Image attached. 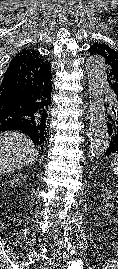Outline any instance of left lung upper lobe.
Returning a JSON list of instances; mask_svg holds the SVG:
<instances>
[{"instance_id": "5c2ea615", "label": "left lung upper lobe", "mask_w": 118, "mask_h": 269, "mask_svg": "<svg viewBox=\"0 0 118 269\" xmlns=\"http://www.w3.org/2000/svg\"><path fill=\"white\" fill-rule=\"evenodd\" d=\"M90 55L101 56L107 67V79L113 90L116 99H118V52L106 44L96 42L89 48Z\"/></svg>"}]
</instances>
